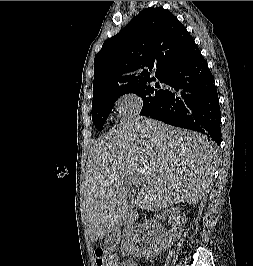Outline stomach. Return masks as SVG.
Instances as JSON below:
<instances>
[{
	"mask_svg": "<svg viewBox=\"0 0 253 266\" xmlns=\"http://www.w3.org/2000/svg\"><path fill=\"white\" fill-rule=\"evenodd\" d=\"M101 243L106 247V248H111L112 247V243H109L106 238L102 237L101 239Z\"/></svg>",
	"mask_w": 253,
	"mask_h": 266,
	"instance_id": "1",
	"label": "stomach"
}]
</instances>
